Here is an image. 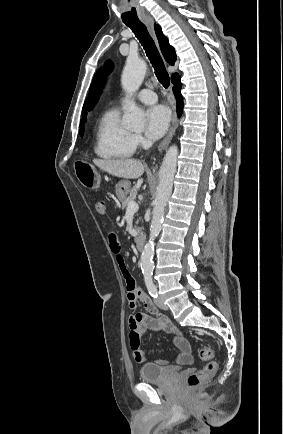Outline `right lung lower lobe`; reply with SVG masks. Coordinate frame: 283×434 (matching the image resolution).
Instances as JSON below:
<instances>
[{
  "label": "right lung lower lobe",
  "instance_id": "98d812e1",
  "mask_svg": "<svg viewBox=\"0 0 283 434\" xmlns=\"http://www.w3.org/2000/svg\"><path fill=\"white\" fill-rule=\"evenodd\" d=\"M171 81L174 84L173 93L175 95L176 102H177V113L179 116H181L183 110V98L180 94V90H181L180 76L177 73L173 74L171 77Z\"/></svg>",
  "mask_w": 283,
  "mask_h": 434
}]
</instances>
